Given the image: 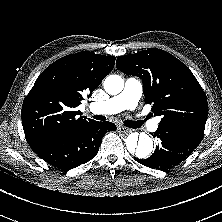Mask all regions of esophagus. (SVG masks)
<instances>
[{"label":"esophagus","instance_id":"1","mask_svg":"<svg viewBox=\"0 0 222 222\" xmlns=\"http://www.w3.org/2000/svg\"><path fill=\"white\" fill-rule=\"evenodd\" d=\"M118 132L128 134L132 132V129L126 128L124 126H118L117 127Z\"/></svg>","mask_w":222,"mask_h":222}]
</instances>
